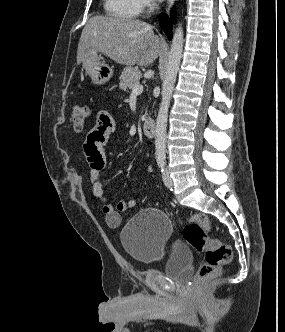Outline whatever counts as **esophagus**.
Instances as JSON below:
<instances>
[{
  "label": "esophagus",
  "mask_w": 285,
  "mask_h": 332,
  "mask_svg": "<svg viewBox=\"0 0 285 332\" xmlns=\"http://www.w3.org/2000/svg\"><path fill=\"white\" fill-rule=\"evenodd\" d=\"M175 0H168L167 1V6H166V12L169 13L173 3H174Z\"/></svg>",
  "instance_id": "34e87169"
}]
</instances>
